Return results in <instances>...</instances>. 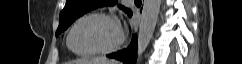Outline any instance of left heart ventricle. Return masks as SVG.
Listing matches in <instances>:
<instances>
[{
    "label": "left heart ventricle",
    "mask_w": 242,
    "mask_h": 64,
    "mask_svg": "<svg viewBox=\"0 0 242 64\" xmlns=\"http://www.w3.org/2000/svg\"><path fill=\"white\" fill-rule=\"evenodd\" d=\"M118 37L119 30L114 22L92 17L77 25L72 34L71 44L76 51L83 52L110 46Z\"/></svg>",
    "instance_id": "b2bd125f"
}]
</instances>
